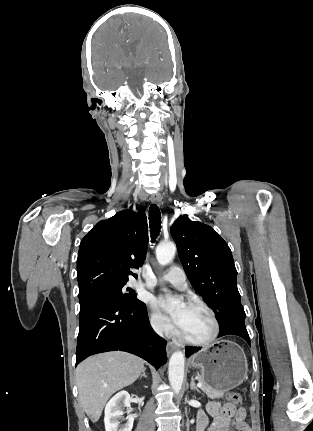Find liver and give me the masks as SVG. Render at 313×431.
<instances>
[{"label": "liver", "mask_w": 313, "mask_h": 431, "mask_svg": "<svg viewBox=\"0 0 313 431\" xmlns=\"http://www.w3.org/2000/svg\"><path fill=\"white\" fill-rule=\"evenodd\" d=\"M144 361L125 352L92 356L76 368L79 401L92 422H97L108 399L135 382L144 369Z\"/></svg>", "instance_id": "1"}]
</instances>
